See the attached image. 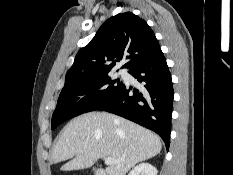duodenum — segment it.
I'll list each match as a JSON object with an SVG mask.
<instances>
[{"label":"duodenum","instance_id":"obj_1","mask_svg":"<svg viewBox=\"0 0 233 175\" xmlns=\"http://www.w3.org/2000/svg\"><path fill=\"white\" fill-rule=\"evenodd\" d=\"M96 175H107V174H106V172H105L104 170L98 169V170L96 171Z\"/></svg>","mask_w":233,"mask_h":175}]
</instances>
